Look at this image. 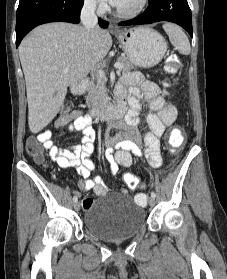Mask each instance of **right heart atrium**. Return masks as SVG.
I'll return each instance as SVG.
<instances>
[{"label":"right heart atrium","instance_id":"1","mask_svg":"<svg viewBox=\"0 0 227 279\" xmlns=\"http://www.w3.org/2000/svg\"><path fill=\"white\" fill-rule=\"evenodd\" d=\"M87 7L103 12L105 9V0H84Z\"/></svg>","mask_w":227,"mask_h":279}]
</instances>
